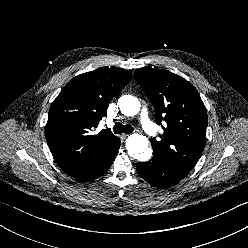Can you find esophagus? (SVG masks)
<instances>
[{"instance_id":"1","label":"esophagus","mask_w":248,"mask_h":248,"mask_svg":"<svg viewBox=\"0 0 248 248\" xmlns=\"http://www.w3.org/2000/svg\"><path fill=\"white\" fill-rule=\"evenodd\" d=\"M128 135H129V134L123 133V134H121V138H122V139H126V138L128 137Z\"/></svg>"}]
</instances>
